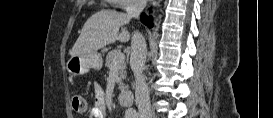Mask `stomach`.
<instances>
[{
  "instance_id": "stomach-1",
  "label": "stomach",
  "mask_w": 273,
  "mask_h": 118,
  "mask_svg": "<svg viewBox=\"0 0 273 118\" xmlns=\"http://www.w3.org/2000/svg\"><path fill=\"white\" fill-rule=\"evenodd\" d=\"M102 65V56L97 52L74 55L67 62V71L74 76H80L89 72L91 68L100 70Z\"/></svg>"
}]
</instances>
